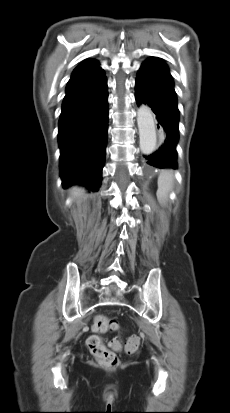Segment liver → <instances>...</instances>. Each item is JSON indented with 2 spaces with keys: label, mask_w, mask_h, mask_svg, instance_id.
<instances>
[{
  "label": "liver",
  "mask_w": 230,
  "mask_h": 413,
  "mask_svg": "<svg viewBox=\"0 0 230 413\" xmlns=\"http://www.w3.org/2000/svg\"><path fill=\"white\" fill-rule=\"evenodd\" d=\"M83 192H84V190L81 189V188L75 187V188L72 189V194H73L74 196H76V197H78V196H80L81 194H83Z\"/></svg>",
  "instance_id": "obj_1"
}]
</instances>
